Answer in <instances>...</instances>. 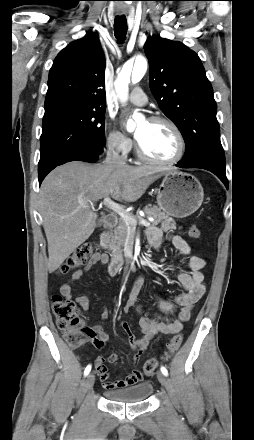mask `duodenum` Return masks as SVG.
I'll list each match as a JSON object with an SVG mask.
<instances>
[{
	"label": "duodenum",
	"mask_w": 254,
	"mask_h": 440,
	"mask_svg": "<svg viewBox=\"0 0 254 440\" xmlns=\"http://www.w3.org/2000/svg\"><path fill=\"white\" fill-rule=\"evenodd\" d=\"M118 223V219L115 215H107L104 219V222L102 224V230H110L113 229ZM124 262L120 259L114 260L110 265V271L111 273L115 274L117 273L120 268L123 266Z\"/></svg>",
	"instance_id": "410a0bca"
}]
</instances>
